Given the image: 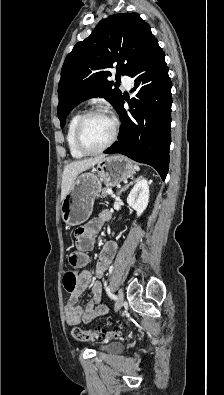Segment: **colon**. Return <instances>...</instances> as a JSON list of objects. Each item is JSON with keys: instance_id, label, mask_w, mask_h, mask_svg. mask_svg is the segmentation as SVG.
Returning a JSON list of instances; mask_svg holds the SVG:
<instances>
[{"instance_id": "colon-1", "label": "colon", "mask_w": 224, "mask_h": 395, "mask_svg": "<svg viewBox=\"0 0 224 395\" xmlns=\"http://www.w3.org/2000/svg\"><path fill=\"white\" fill-rule=\"evenodd\" d=\"M63 285L68 293H72L77 288V277L75 272L67 271L63 277ZM121 333L120 328L114 329H96L86 330L77 326L71 329V334L74 339L81 342L107 340L112 337L118 336Z\"/></svg>"}]
</instances>
